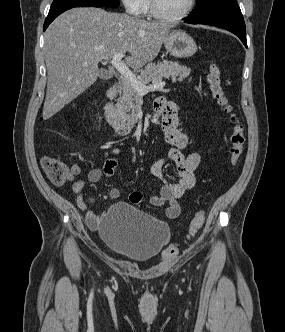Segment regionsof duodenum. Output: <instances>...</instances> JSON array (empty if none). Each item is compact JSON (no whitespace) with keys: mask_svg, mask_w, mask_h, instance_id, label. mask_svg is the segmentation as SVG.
I'll use <instances>...</instances> for the list:
<instances>
[{"mask_svg":"<svg viewBox=\"0 0 285 332\" xmlns=\"http://www.w3.org/2000/svg\"><path fill=\"white\" fill-rule=\"evenodd\" d=\"M118 92V85H113L106 92V101L103 106L104 116L106 122L114 129L119 135H127L131 131V126L123 122L115 108L114 98ZM166 107V101L164 99H158L155 103V110L158 114H161Z\"/></svg>","mask_w":285,"mask_h":332,"instance_id":"obj_1","label":"duodenum"}]
</instances>
